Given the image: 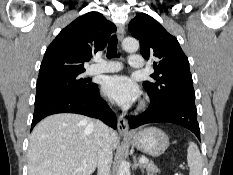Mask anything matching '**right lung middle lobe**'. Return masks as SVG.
I'll use <instances>...</instances> for the list:
<instances>
[{
    "mask_svg": "<svg viewBox=\"0 0 233 175\" xmlns=\"http://www.w3.org/2000/svg\"><path fill=\"white\" fill-rule=\"evenodd\" d=\"M82 73L57 74L38 78L36 97L48 93H80L92 89L93 84H87V81L80 76Z\"/></svg>",
    "mask_w": 233,
    "mask_h": 175,
    "instance_id": "right-lung-middle-lobe-1",
    "label": "right lung middle lobe"
}]
</instances>
